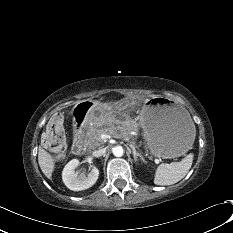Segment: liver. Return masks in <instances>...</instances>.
Wrapping results in <instances>:
<instances>
[{
  "mask_svg": "<svg viewBox=\"0 0 233 233\" xmlns=\"http://www.w3.org/2000/svg\"><path fill=\"white\" fill-rule=\"evenodd\" d=\"M38 163L44 175L50 179L55 167V162L53 157L41 146L38 150Z\"/></svg>",
  "mask_w": 233,
  "mask_h": 233,
  "instance_id": "obj_1",
  "label": "liver"
}]
</instances>
